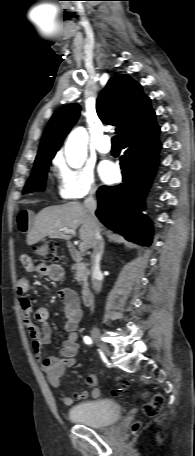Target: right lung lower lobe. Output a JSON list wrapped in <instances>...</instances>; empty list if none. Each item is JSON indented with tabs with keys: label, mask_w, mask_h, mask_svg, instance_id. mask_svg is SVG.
<instances>
[{
	"label": "right lung lower lobe",
	"mask_w": 195,
	"mask_h": 456,
	"mask_svg": "<svg viewBox=\"0 0 195 456\" xmlns=\"http://www.w3.org/2000/svg\"><path fill=\"white\" fill-rule=\"evenodd\" d=\"M160 128L155 123L122 141L120 158L123 183L101 186L97 191L96 215L109 229L140 245L149 246L152 225L144 210V196L154 177L161 144Z\"/></svg>",
	"instance_id": "obj_1"
}]
</instances>
